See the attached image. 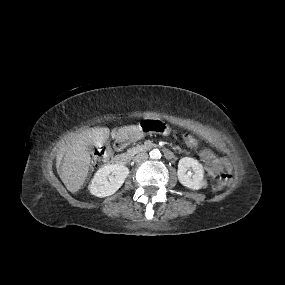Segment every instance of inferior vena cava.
<instances>
[{
    "mask_svg": "<svg viewBox=\"0 0 285 285\" xmlns=\"http://www.w3.org/2000/svg\"><path fill=\"white\" fill-rule=\"evenodd\" d=\"M148 159V154L145 152L139 153L134 157L135 162H143Z\"/></svg>",
    "mask_w": 285,
    "mask_h": 285,
    "instance_id": "obj_1",
    "label": "inferior vena cava"
}]
</instances>
